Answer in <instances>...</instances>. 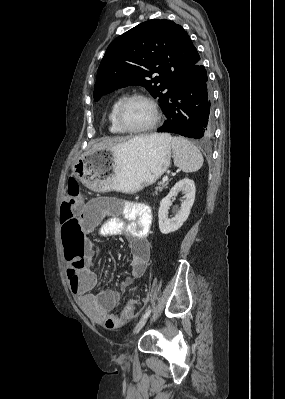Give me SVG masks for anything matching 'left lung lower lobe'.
<instances>
[{
	"instance_id": "0a47b994",
	"label": "left lung lower lobe",
	"mask_w": 285,
	"mask_h": 399,
	"mask_svg": "<svg viewBox=\"0 0 285 399\" xmlns=\"http://www.w3.org/2000/svg\"><path fill=\"white\" fill-rule=\"evenodd\" d=\"M200 58L175 80L165 105L166 121L157 132L205 140L213 134L211 93Z\"/></svg>"
}]
</instances>
